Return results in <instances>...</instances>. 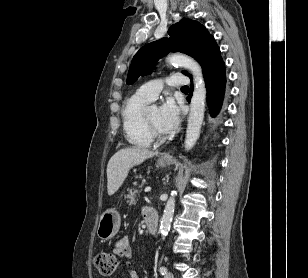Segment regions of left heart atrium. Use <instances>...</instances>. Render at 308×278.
I'll use <instances>...</instances> for the list:
<instances>
[{
  "label": "left heart atrium",
  "instance_id": "39dd6f15",
  "mask_svg": "<svg viewBox=\"0 0 308 278\" xmlns=\"http://www.w3.org/2000/svg\"><path fill=\"white\" fill-rule=\"evenodd\" d=\"M180 123V110L172 99H167L159 109L158 127L164 133L173 132Z\"/></svg>",
  "mask_w": 308,
  "mask_h": 278
}]
</instances>
